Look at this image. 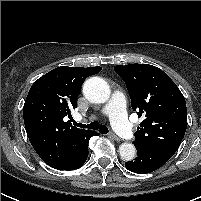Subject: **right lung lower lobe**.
Returning a JSON list of instances; mask_svg holds the SVG:
<instances>
[{
	"mask_svg": "<svg viewBox=\"0 0 201 201\" xmlns=\"http://www.w3.org/2000/svg\"><path fill=\"white\" fill-rule=\"evenodd\" d=\"M95 135H98V133L92 132L86 137L80 151L72 160H70L66 164L56 166L54 168L62 169V170H70V169H77V168L81 167L85 163V161L88 157V141L92 136H95Z\"/></svg>",
	"mask_w": 201,
	"mask_h": 201,
	"instance_id": "1",
	"label": "right lung lower lobe"
}]
</instances>
